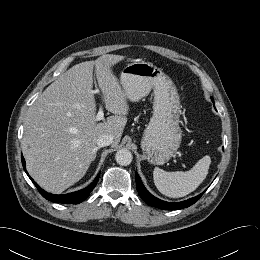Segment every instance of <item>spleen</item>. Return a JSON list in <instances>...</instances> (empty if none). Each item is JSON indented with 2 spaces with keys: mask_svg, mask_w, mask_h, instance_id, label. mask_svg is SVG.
Returning <instances> with one entry per match:
<instances>
[{
  "mask_svg": "<svg viewBox=\"0 0 260 260\" xmlns=\"http://www.w3.org/2000/svg\"><path fill=\"white\" fill-rule=\"evenodd\" d=\"M211 158L206 155L201 158L191 170L166 172L158 167L153 171L154 183L157 189L171 198L184 197L198 188L208 174Z\"/></svg>",
  "mask_w": 260,
  "mask_h": 260,
  "instance_id": "spleen-1",
  "label": "spleen"
}]
</instances>
